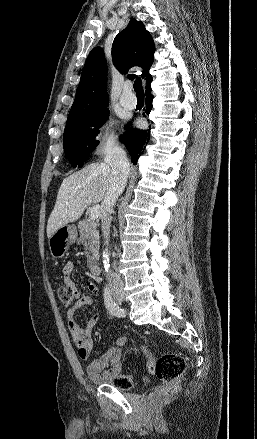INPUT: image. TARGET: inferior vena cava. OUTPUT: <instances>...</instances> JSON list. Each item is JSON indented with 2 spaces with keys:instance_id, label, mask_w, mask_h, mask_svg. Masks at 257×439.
<instances>
[{
  "instance_id": "602c4592",
  "label": "inferior vena cava",
  "mask_w": 257,
  "mask_h": 439,
  "mask_svg": "<svg viewBox=\"0 0 257 439\" xmlns=\"http://www.w3.org/2000/svg\"><path fill=\"white\" fill-rule=\"evenodd\" d=\"M104 161L112 169L110 187L103 200L105 212L102 219V232L104 238L108 239L109 227L112 220L111 208L126 186L129 174V162L125 151L118 145H113L108 149ZM107 280L111 289L115 287L123 288V281L117 273L110 271L107 274Z\"/></svg>"
}]
</instances>
